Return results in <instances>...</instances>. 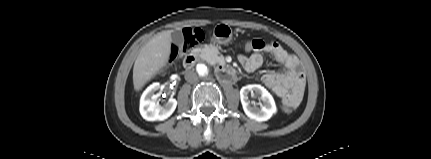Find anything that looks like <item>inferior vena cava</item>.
I'll return each mask as SVG.
<instances>
[{
    "label": "inferior vena cava",
    "mask_w": 431,
    "mask_h": 159,
    "mask_svg": "<svg viewBox=\"0 0 431 159\" xmlns=\"http://www.w3.org/2000/svg\"><path fill=\"white\" fill-rule=\"evenodd\" d=\"M185 79L189 83H196L198 81V75L194 70H189L185 73Z\"/></svg>",
    "instance_id": "inferior-vena-cava-1"
}]
</instances>
